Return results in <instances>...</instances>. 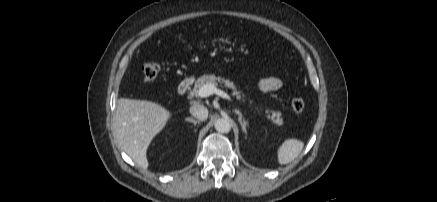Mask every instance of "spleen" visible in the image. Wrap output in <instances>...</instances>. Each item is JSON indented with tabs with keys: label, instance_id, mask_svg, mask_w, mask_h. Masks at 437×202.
<instances>
[{
	"label": "spleen",
	"instance_id": "1",
	"mask_svg": "<svg viewBox=\"0 0 437 202\" xmlns=\"http://www.w3.org/2000/svg\"><path fill=\"white\" fill-rule=\"evenodd\" d=\"M304 147V143L297 139H287L278 149L279 164H288L298 157Z\"/></svg>",
	"mask_w": 437,
	"mask_h": 202
}]
</instances>
